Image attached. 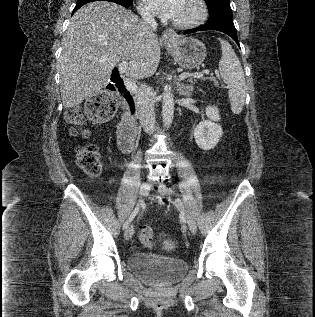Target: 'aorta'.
Returning a JSON list of instances; mask_svg holds the SVG:
<instances>
[{
    "mask_svg": "<svg viewBox=\"0 0 315 317\" xmlns=\"http://www.w3.org/2000/svg\"><path fill=\"white\" fill-rule=\"evenodd\" d=\"M162 118L164 126L169 127L174 117V98L170 86H165L163 92Z\"/></svg>",
    "mask_w": 315,
    "mask_h": 317,
    "instance_id": "762f6f07",
    "label": "aorta"
}]
</instances>
